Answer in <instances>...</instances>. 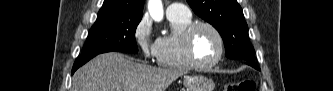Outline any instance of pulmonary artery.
Listing matches in <instances>:
<instances>
[{
    "mask_svg": "<svg viewBox=\"0 0 333 91\" xmlns=\"http://www.w3.org/2000/svg\"><path fill=\"white\" fill-rule=\"evenodd\" d=\"M167 14L189 16L191 15V12L184 4L172 3L167 7Z\"/></svg>",
    "mask_w": 333,
    "mask_h": 91,
    "instance_id": "1",
    "label": "pulmonary artery"
}]
</instances>
